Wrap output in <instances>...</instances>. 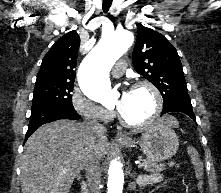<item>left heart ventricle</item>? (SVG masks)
Here are the masks:
<instances>
[{"label": "left heart ventricle", "mask_w": 221, "mask_h": 193, "mask_svg": "<svg viewBox=\"0 0 221 193\" xmlns=\"http://www.w3.org/2000/svg\"><path fill=\"white\" fill-rule=\"evenodd\" d=\"M121 96L115 98V104L119 107L123 116L132 122L143 121L147 119L154 110V97L152 93L145 88L132 89L127 102L120 106Z\"/></svg>", "instance_id": "obj_1"}]
</instances>
